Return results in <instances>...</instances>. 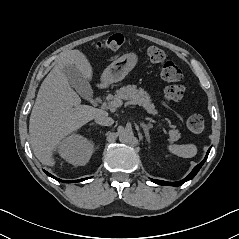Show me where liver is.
I'll return each mask as SVG.
<instances>
[{
  "label": "liver",
  "instance_id": "liver-1",
  "mask_svg": "<svg viewBox=\"0 0 239 239\" xmlns=\"http://www.w3.org/2000/svg\"><path fill=\"white\" fill-rule=\"evenodd\" d=\"M68 65H74L87 81L92 79V66L80 50L63 53L42 82L29 120L33 152L42 164L48 166L55 165L53 151L65 136L104 112L80 105L81 99L63 71Z\"/></svg>",
  "mask_w": 239,
  "mask_h": 239
}]
</instances>
